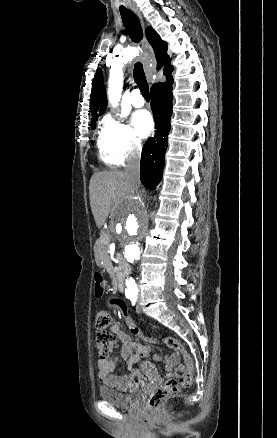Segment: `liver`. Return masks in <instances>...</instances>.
Segmentation results:
<instances>
[{"label": "liver", "mask_w": 277, "mask_h": 438, "mask_svg": "<svg viewBox=\"0 0 277 438\" xmlns=\"http://www.w3.org/2000/svg\"><path fill=\"white\" fill-rule=\"evenodd\" d=\"M131 188L125 172H96L90 180V206L101 228L115 205H124V190ZM125 220V219H120Z\"/></svg>", "instance_id": "liver-1"}]
</instances>
